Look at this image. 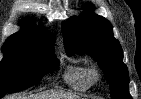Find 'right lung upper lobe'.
Returning a JSON list of instances; mask_svg holds the SVG:
<instances>
[{
  "label": "right lung upper lobe",
  "instance_id": "obj_1",
  "mask_svg": "<svg viewBox=\"0 0 141 99\" xmlns=\"http://www.w3.org/2000/svg\"><path fill=\"white\" fill-rule=\"evenodd\" d=\"M21 30L11 35L7 41H22L36 44H51L53 36L45 29L36 28L32 21L25 19L21 21Z\"/></svg>",
  "mask_w": 141,
  "mask_h": 99
}]
</instances>
